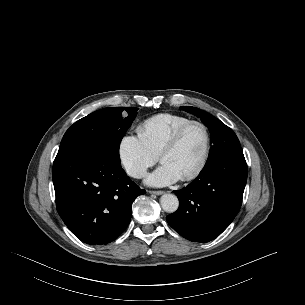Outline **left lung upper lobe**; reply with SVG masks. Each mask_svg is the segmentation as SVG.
<instances>
[{
    "instance_id": "left-lung-upper-lobe-1",
    "label": "left lung upper lobe",
    "mask_w": 305,
    "mask_h": 305,
    "mask_svg": "<svg viewBox=\"0 0 305 305\" xmlns=\"http://www.w3.org/2000/svg\"><path fill=\"white\" fill-rule=\"evenodd\" d=\"M181 109L200 117L211 133L213 146L205 166L212 164L227 154L242 151L240 142L234 131L219 119L196 107L182 106Z\"/></svg>"
}]
</instances>
